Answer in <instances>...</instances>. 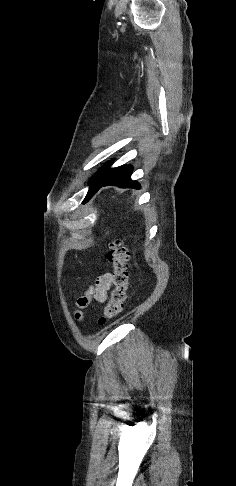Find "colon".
I'll use <instances>...</instances> for the list:
<instances>
[{
    "label": "colon",
    "instance_id": "obj_1",
    "mask_svg": "<svg viewBox=\"0 0 236 486\" xmlns=\"http://www.w3.org/2000/svg\"><path fill=\"white\" fill-rule=\"evenodd\" d=\"M129 257V251L120 238L114 239L109 243L108 261L113 269L112 282L114 288L103 315L99 319L100 324H104L107 320L116 317L123 310L128 289Z\"/></svg>",
    "mask_w": 236,
    "mask_h": 486
}]
</instances>
